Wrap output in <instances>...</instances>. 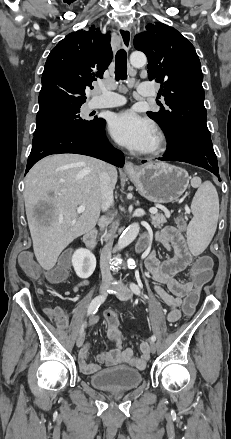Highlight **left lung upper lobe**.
<instances>
[{"label": "left lung upper lobe", "instance_id": "5c2ea615", "mask_svg": "<svg viewBox=\"0 0 231 439\" xmlns=\"http://www.w3.org/2000/svg\"><path fill=\"white\" fill-rule=\"evenodd\" d=\"M134 38V47L148 58V78L161 84L170 111L147 112L167 139L182 132L210 137L204 107L203 74L194 46L177 30L163 23L148 24Z\"/></svg>", "mask_w": 231, "mask_h": 439}]
</instances>
